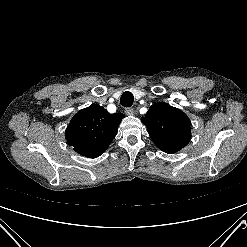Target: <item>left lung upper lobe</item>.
<instances>
[{
	"label": "left lung upper lobe",
	"mask_w": 247,
	"mask_h": 247,
	"mask_svg": "<svg viewBox=\"0 0 247 247\" xmlns=\"http://www.w3.org/2000/svg\"><path fill=\"white\" fill-rule=\"evenodd\" d=\"M141 121L156 146L166 153H175L190 141V119L167 103L153 104Z\"/></svg>",
	"instance_id": "obj_1"
}]
</instances>
